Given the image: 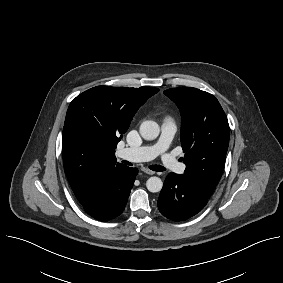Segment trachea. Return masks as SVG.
Masks as SVG:
<instances>
[{"label":"trachea","mask_w":283,"mask_h":283,"mask_svg":"<svg viewBox=\"0 0 283 283\" xmlns=\"http://www.w3.org/2000/svg\"><path fill=\"white\" fill-rule=\"evenodd\" d=\"M149 168L153 171H157V172H162V171H165L166 168H164L163 166L161 165H151L149 166Z\"/></svg>","instance_id":"3493384b"}]
</instances>
